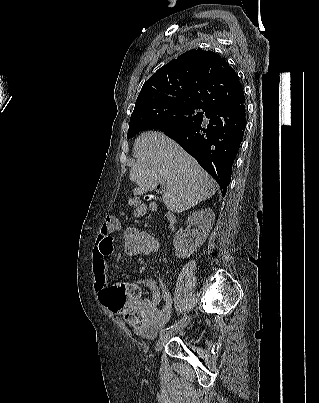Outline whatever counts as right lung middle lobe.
<instances>
[{"instance_id": "right-lung-middle-lobe-1", "label": "right lung middle lobe", "mask_w": 319, "mask_h": 403, "mask_svg": "<svg viewBox=\"0 0 319 403\" xmlns=\"http://www.w3.org/2000/svg\"><path fill=\"white\" fill-rule=\"evenodd\" d=\"M203 110V111H200ZM206 110L190 104L165 103L146 107L130 118L127 138L148 129H167L187 126L200 121Z\"/></svg>"}]
</instances>
